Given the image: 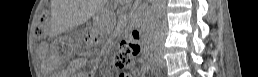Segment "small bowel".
I'll return each mask as SVG.
<instances>
[{"mask_svg": "<svg viewBox=\"0 0 258 77\" xmlns=\"http://www.w3.org/2000/svg\"><path fill=\"white\" fill-rule=\"evenodd\" d=\"M38 50H39V52H40L41 54H43L44 56L46 55V52H47L46 46L41 45ZM58 63H59V60L56 59V58H51V57L47 58V65H48L49 67L56 66Z\"/></svg>", "mask_w": 258, "mask_h": 77, "instance_id": "1", "label": "small bowel"}]
</instances>
